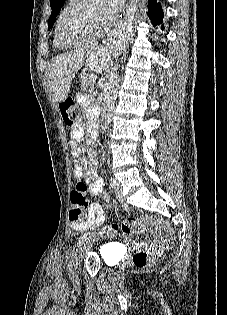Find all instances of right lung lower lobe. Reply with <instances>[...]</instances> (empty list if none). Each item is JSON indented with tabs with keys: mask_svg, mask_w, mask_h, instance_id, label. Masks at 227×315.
I'll use <instances>...</instances> for the list:
<instances>
[{
	"mask_svg": "<svg viewBox=\"0 0 227 315\" xmlns=\"http://www.w3.org/2000/svg\"><path fill=\"white\" fill-rule=\"evenodd\" d=\"M148 9V16L151 19V23L154 26L161 24L163 19V11L160 3H156V0H148Z\"/></svg>",
	"mask_w": 227,
	"mask_h": 315,
	"instance_id": "right-lung-lower-lobe-1",
	"label": "right lung lower lobe"
}]
</instances>
